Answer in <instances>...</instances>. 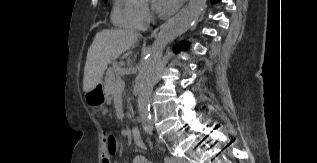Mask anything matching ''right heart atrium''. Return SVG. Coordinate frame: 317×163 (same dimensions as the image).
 <instances>
[{"label": "right heart atrium", "mask_w": 317, "mask_h": 163, "mask_svg": "<svg viewBox=\"0 0 317 163\" xmlns=\"http://www.w3.org/2000/svg\"><path fill=\"white\" fill-rule=\"evenodd\" d=\"M139 17L144 24L148 23L152 19V12L146 0H141L139 6Z\"/></svg>", "instance_id": "d8ad5b80"}]
</instances>
